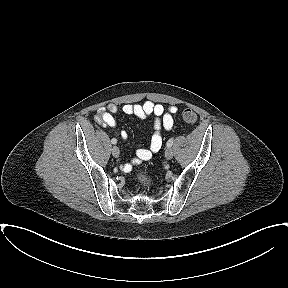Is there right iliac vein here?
I'll list each match as a JSON object with an SVG mask.
<instances>
[{"label": "right iliac vein", "mask_w": 288, "mask_h": 288, "mask_svg": "<svg viewBox=\"0 0 288 288\" xmlns=\"http://www.w3.org/2000/svg\"><path fill=\"white\" fill-rule=\"evenodd\" d=\"M112 155H113L115 158L119 157V155H120V150H119L118 147L114 146V147L112 148Z\"/></svg>", "instance_id": "63e3f726"}]
</instances>
